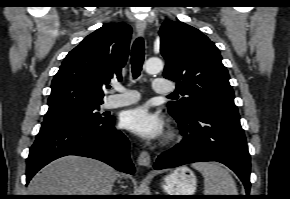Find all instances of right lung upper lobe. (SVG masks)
I'll use <instances>...</instances> for the list:
<instances>
[{
  "label": "right lung upper lobe",
  "instance_id": "1",
  "mask_svg": "<svg viewBox=\"0 0 290 199\" xmlns=\"http://www.w3.org/2000/svg\"><path fill=\"white\" fill-rule=\"evenodd\" d=\"M132 29L127 24H104L68 53L54 76L46 114L103 103V88L121 80Z\"/></svg>",
  "mask_w": 290,
  "mask_h": 199
}]
</instances>
